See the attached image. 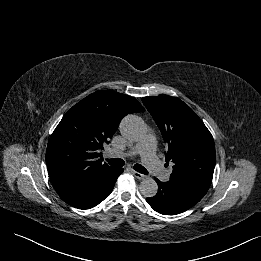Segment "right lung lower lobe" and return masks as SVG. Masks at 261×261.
I'll return each mask as SVG.
<instances>
[{"instance_id":"98d812e1","label":"right lung lower lobe","mask_w":261,"mask_h":261,"mask_svg":"<svg viewBox=\"0 0 261 261\" xmlns=\"http://www.w3.org/2000/svg\"><path fill=\"white\" fill-rule=\"evenodd\" d=\"M122 168H113L92 182L60 194L67 204L78 209H90L107 198L115 185Z\"/></svg>"}]
</instances>
